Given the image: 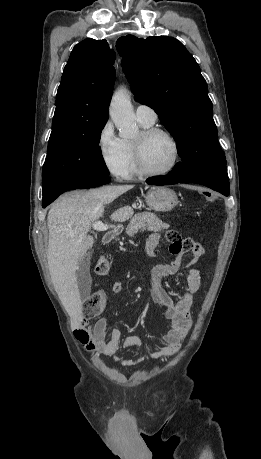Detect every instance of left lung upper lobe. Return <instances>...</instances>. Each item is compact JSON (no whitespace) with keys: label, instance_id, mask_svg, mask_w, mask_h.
Returning <instances> with one entry per match:
<instances>
[{"label":"left lung upper lobe","instance_id":"obj_1","mask_svg":"<svg viewBox=\"0 0 261 459\" xmlns=\"http://www.w3.org/2000/svg\"><path fill=\"white\" fill-rule=\"evenodd\" d=\"M116 48L135 99L154 109L177 142L182 162L173 169L189 175L226 167L206 81L184 45L166 36H127Z\"/></svg>","mask_w":261,"mask_h":459}]
</instances>
